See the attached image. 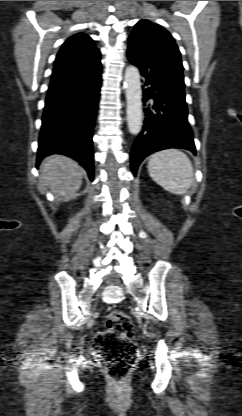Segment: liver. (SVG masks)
I'll list each match as a JSON object with an SVG mask.
<instances>
[{
	"mask_svg": "<svg viewBox=\"0 0 242 416\" xmlns=\"http://www.w3.org/2000/svg\"><path fill=\"white\" fill-rule=\"evenodd\" d=\"M83 168L78 162L63 155H52L41 164V180L56 198L68 201L76 196L81 187Z\"/></svg>",
	"mask_w": 242,
	"mask_h": 416,
	"instance_id": "liver-1",
	"label": "liver"
}]
</instances>
